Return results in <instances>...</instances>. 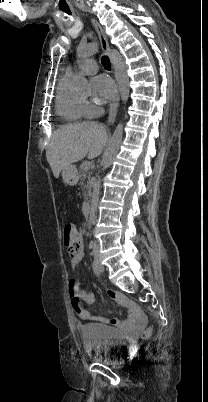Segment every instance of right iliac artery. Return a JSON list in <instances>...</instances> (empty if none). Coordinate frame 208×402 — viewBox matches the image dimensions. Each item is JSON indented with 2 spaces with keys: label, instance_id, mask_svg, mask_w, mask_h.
Instances as JSON below:
<instances>
[{
  "label": "right iliac artery",
  "instance_id": "right-iliac-artery-1",
  "mask_svg": "<svg viewBox=\"0 0 208 402\" xmlns=\"http://www.w3.org/2000/svg\"><path fill=\"white\" fill-rule=\"evenodd\" d=\"M92 268H93V271L96 274V276H100V269H99L98 263L96 261H93Z\"/></svg>",
  "mask_w": 208,
  "mask_h": 402
}]
</instances>
